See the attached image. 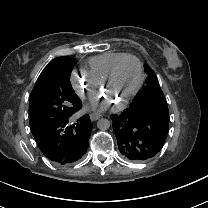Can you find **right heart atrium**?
Here are the masks:
<instances>
[{
	"label": "right heart atrium",
	"instance_id": "obj_1",
	"mask_svg": "<svg viewBox=\"0 0 208 208\" xmlns=\"http://www.w3.org/2000/svg\"><path fill=\"white\" fill-rule=\"evenodd\" d=\"M70 83L77 95L83 100L96 101L98 98L99 84L89 73H78L72 70Z\"/></svg>",
	"mask_w": 208,
	"mask_h": 208
}]
</instances>
